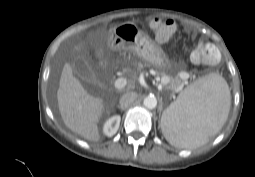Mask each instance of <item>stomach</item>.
Returning <instances> with one entry per match:
<instances>
[{
	"label": "stomach",
	"mask_w": 255,
	"mask_h": 177,
	"mask_svg": "<svg viewBox=\"0 0 255 177\" xmlns=\"http://www.w3.org/2000/svg\"><path fill=\"white\" fill-rule=\"evenodd\" d=\"M109 43L113 49L132 52L162 70L171 67L162 48L133 22H124L114 27L109 35Z\"/></svg>",
	"instance_id": "stomach-1"
}]
</instances>
